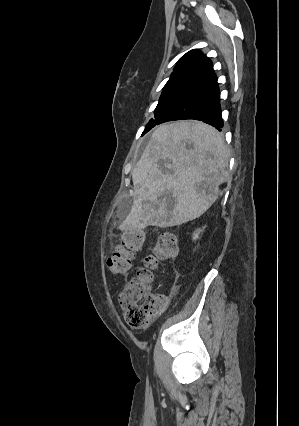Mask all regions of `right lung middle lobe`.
Here are the masks:
<instances>
[{"instance_id": "1", "label": "right lung middle lobe", "mask_w": 299, "mask_h": 426, "mask_svg": "<svg viewBox=\"0 0 299 426\" xmlns=\"http://www.w3.org/2000/svg\"><path fill=\"white\" fill-rule=\"evenodd\" d=\"M196 87L191 85H165L159 99V103L155 109L154 115L155 118L151 119L149 123L146 125L143 134L148 132L151 128H153L156 123L161 119L163 114L178 100H180L183 96L191 92Z\"/></svg>"}]
</instances>
